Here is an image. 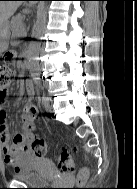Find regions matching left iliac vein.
<instances>
[{"instance_id": "1", "label": "left iliac vein", "mask_w": 137, "mask_h": 189, "mask_svg": "<svg viewBox=\"0 0 137 189\" xmlns=\"http://www.w3.org/2000/svg\"><path fill=\"white\" fill-rule=\"evenodd\" d=\"M44 108L47 112L52 110V105L50 104V102L46 101L44 102Z\"/></svg>"}]
</instances>
